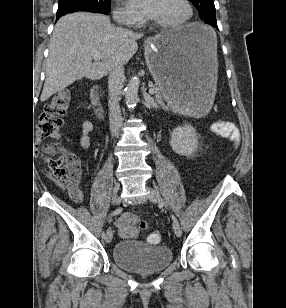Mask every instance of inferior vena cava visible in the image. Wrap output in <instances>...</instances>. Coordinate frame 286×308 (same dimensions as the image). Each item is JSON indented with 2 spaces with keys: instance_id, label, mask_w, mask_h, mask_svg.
Wrapping results in <instances>:
<instances>
[{
  "instance_id": "602c4592",
  "label": "inferior vena cava",
  "mask_w": 286,
  "mask_h": 308,
  "mask_svg": "<svg viewBox=\"0 0 286 308\" xmlns=\"http://www.w3.org/2000/svg\"><path fill=\"white\" fill-rule=\"evenodd\" d=\"M124 80V67L120 64H115L108 77V105L112 137L118 136L120 131L122 116L119 106V95L121 94Z\"/></svg>"
}]
</instances>
